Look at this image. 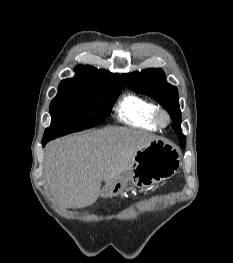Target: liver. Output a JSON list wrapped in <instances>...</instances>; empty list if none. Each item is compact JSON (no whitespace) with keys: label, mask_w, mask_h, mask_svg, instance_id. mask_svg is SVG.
Instances as JSON below:
<instances>
[{"label":"liver","mask_w":233,"mask_h":263,"mask_svg":"<svg viewBox=\"0 0 233 263\" xmlns=\"http://www.w3.org/2000/svg\"><path fill=\"white\" fill-rule=\"evenodd\" d=\"M156 139L148 132L108 127L54 140L45 150L48 188L63 207L90 206L101 194L102 181L106 186L117 182L136 152Z\"/></svg>","instance_id":"1"}]
</instances>
